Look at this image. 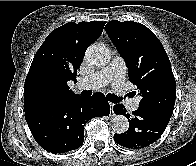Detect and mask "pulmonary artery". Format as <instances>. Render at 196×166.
Listing matches in <instances>:
<instances>
[{
  "instance_id": "e3ab8cb5",
  "label": "pulmonary artery",
  "mask_w": 196,
  "mask_h": 166,
  "mask_svg": "<svg viewBox=\"0 0 196 166\" xmlns=\"http://www.w3.org/2000/svg\"><path fill=\"white\" fill-rule=\"evenodd\" d=\"M125 75L126 65L124 60L120 56H115L104 69L79 80L76 87L80 90H94L112 84L114 89H118L123 85ZM128 106L131 110H136L139 106V99L129 100Z\"/></svg>"
}]
</instances>
